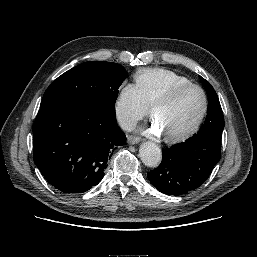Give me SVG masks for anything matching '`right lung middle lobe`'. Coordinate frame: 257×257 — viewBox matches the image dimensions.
I'll use <instances>...</instances> for the list:
<instances>
[{"label": "right lung middle lobe", "mask_w": 257, "mask_h": 257, "mask_svg": "<svg viewBox=\"0 0 257 257\" xmlns=\"http://www.w3.org/2000/svg\"><path fill=\"white\" fill-rule=\"evenodd\" d=\"M126 76L125 68L117 63H82L51 83L40 108L59 102L84 101L103 105L115 112L118 88Z\"/></svg>", "instance_id": "dd1d6c3e"}]
</instances>
